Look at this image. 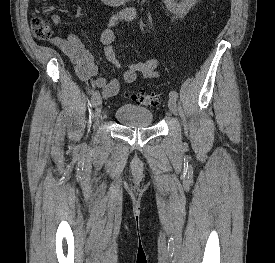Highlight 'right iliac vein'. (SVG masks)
Listing matches in <instances>:
<instances>
[{
	"label": "right iliac vein",
	"mask_w": 275,
	"mask_h": 263,
	"mask_svg": "<svg viewBox=\"0 0 275 263\" xmlns=\"http://www.w3.org/2000/svg\"><path fill=\"white\" fill-rule=\"evenodd\" d=\"M94 118L95 121H98L99 117H100V113H101V109H102V100L99 97L94 105Z\"/></svg>",
	"instance_id": "right-iliac-vein-1"
}]
</instances>
